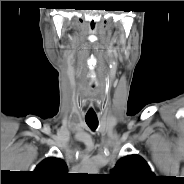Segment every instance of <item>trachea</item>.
Listing matches in <instances>:
<instances>
[{
    "label": "trachea",
    "mask_w": 184,
    "mask_h": 184,
    "mask_svg": "<svg viewBox=\"0 0 184 184\" xmlns=\"http://www.w3.org/2000/svg\"><path fill=\"white\" fill-rule=\"evenodd\" d=\"M87 125L92 129L95 130L98 127V119L97 118H85Z\"/></svg>",
    "instance_id": "trachea-1"
}]
</instances>
